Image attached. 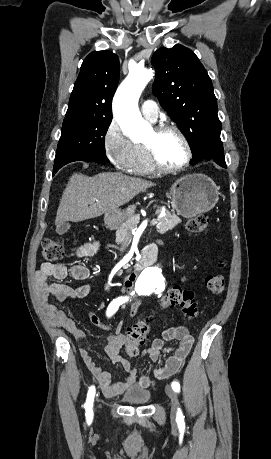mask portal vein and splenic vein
Listing matches in <instances>:
<instances>
[{
	"label": "portal vein and splenic vein",
	"instance_id": "1",
	"mask_svg": "<svg viewBox=\"0 0 271 459\" xmlns=\"http://www.w3.org/2000/svg\"><path fill=\"white\" fill-rule=\"evenodd\" d=\"M153 220H154V221H151L150 223H151L152 226H156V224L158 223V222L156 221L157 219L154 218Z\"/></svg>",
	"mask_w": 271,
	"mask_h": 459
}]
</instances>
